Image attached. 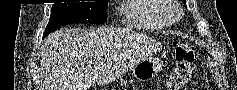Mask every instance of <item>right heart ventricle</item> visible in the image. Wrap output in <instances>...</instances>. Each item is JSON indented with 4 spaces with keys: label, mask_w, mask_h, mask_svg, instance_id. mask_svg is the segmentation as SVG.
<instances>
[{
    "label": "right heart ventricle",
    "mask_w": 237,
    "mask_h": 90,
    "mask_svg": "<svg viewBox=\"0 0 237 90\" xmlns=\"http://www.w3.org/2000/svg\"><path fill=\"white\" fill-rule=\"evenodd\" d=\"M125 2L130 7L119 8V14L126 16L119 21H124L126 28L167 29L170 26L156 14H171L170 7H167L171 6V2H160V0H125Z\"/></svg>",
    "instance_id": "right-heart-ventricle-1"
}]
</instances>
